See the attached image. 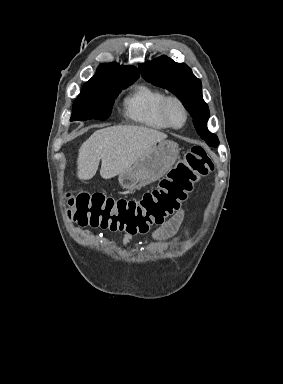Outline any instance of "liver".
<instances>
[{"instance_id": "liver-1", "label": "liver", "mask_w": 283, "mask_h": 384, "mask_svg": "<svg viewBox=\"0 0 283 384\" xmlns=\"http://www.w3.org/2000/svg\"><path fill=\"white\" fill-rule=\"evenodd\" d=\"M166 134L144 126H111L94 132L81 148L77 158L79 180H91L102 160L100 174L110 180L132 168L152 144L166 140Z\"/></svg>"}]
</instances>
